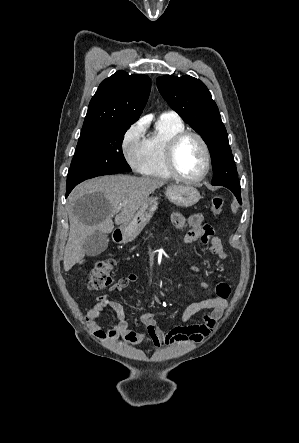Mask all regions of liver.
<instances>
[{
	"label": "liver",
	"mask_w": 299,
	"mask_h": 443,
	"mask_svg": "<svg viewBox=\"0 0 299 443\" xmlns=\"http://www.w3.org/2000/svg\"><path fill=\"white\" fill-rule=\"evenodd\" d=\"M165 181L130 175L103 176L78 185L70 194V231L65 247L64 270L69 271L85 255L83 244L95 232L111 233L115 224L132 218L150 194ZM119 209L118 212H115Z\"/></svg>",
	"instance_id": "obj_1"
}]
</instances>
